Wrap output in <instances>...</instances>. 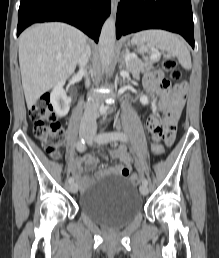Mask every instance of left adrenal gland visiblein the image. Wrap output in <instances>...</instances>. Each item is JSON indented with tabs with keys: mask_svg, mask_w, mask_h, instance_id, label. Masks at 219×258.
I'll list each match as a JSON object with an SVG mask.
<instances>
[{
	"mask_svg": "<svg viewBox=\"0 0 219 258\" xmlns=\"http://www.w3.org/2000/svg\"><path fill=\"white\" fill-rule=\"evenodd\" d=\"M124 57H125V53L122 55V65H124Z\"/></svg>",
	"mask_w": 219,
	"mask_h": 258,
	"instance_id": "a2214340",
	"label": "left adrenal gland"
}]
</instances>
